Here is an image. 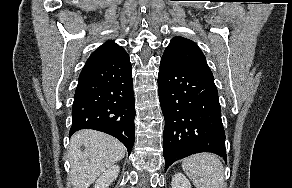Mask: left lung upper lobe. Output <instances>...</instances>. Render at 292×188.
Instances as JSON below:
<instances>
[{
    "mask_svg": "<svg viewBox=\"0 0 292 188\" xmlns=\"http://www.w3.org/2000/svg\"><path fill=\"white\" fill-rule=\"evenodd\" d=\"M162 57L168 58L175 63L186 66L201 74L213 77L204 54L198 45L187 38L180 36L174 37L165 49Z\"/></svg>",
    "mask_w": 292,
    "mask_h": 188,
    "instance_id": "obj_1",
    "label": "left lung upper lobe"
}]
</instances>
